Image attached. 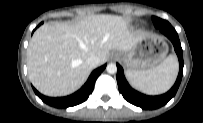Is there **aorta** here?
I'll list each match as a JSON object with an SVG mask.
<instances>
[{"label":"aorta","mask_w":203,"mask_h":123,"mask_svg":"<svg viewBox=\"0 0 203 123\" xmlns=\"http://www.w3.org/2000/svg\"><path fill=\"white\" fill-rule=\"evenodd\" d=\"M106 71L109 74H115L117 72V66H116V64H114V63L108 64L107 67H106Z\"/></svg>","instance_id":"obj_1"}]
</instances>
